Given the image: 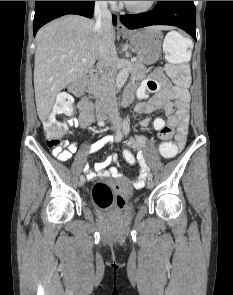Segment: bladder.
Here are the masks:
<instances>
[{"instance_id":"obj_1","label":"bladder","mask_w":233,"mask_h":295,"mask_svg":"<svg viewBox=\"0 0 233 295\" xmlns=\"http://www.w3.org/2000/svg\"><path fill=\"white\" fill-rule=\"evenodd\" d=\"M129 200H130L131 202L135 201V200H136V196H135V195H131V196L129 197Z\"/></svg>"}]
</instances>
